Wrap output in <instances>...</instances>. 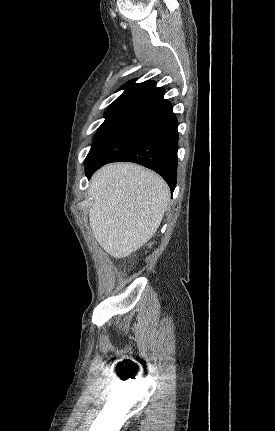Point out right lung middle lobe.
<instances>
[{"label": "right lung middle lobe", "instance_id": "right-lung-middle-lobe-1", "mask_svg": "<svg viewBox=\"0 0 275 431\" xmlns=\"http://www.w3.org/2000/svg\"><path fill=\"white\" fill-rule=\"evenodd\" d=\"M134 112L120 111L105 113V121L100 126L97 137L86 157L85 166H88L111 138L127 123Z\"/></svg>", "mask_w": 275, "mask_h": 431}]
</instances>
